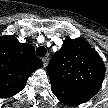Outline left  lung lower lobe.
<instances>
[{"mask_svg":"<svg viewBox=\"0 0 108 108\" xmlns=\"http://www.w3.org/2000/svg\"><path fill=\"white\" fill-rule=\"evenodd\" d=\"M52 92L62 103L79 105L93 97L97 93V90L55 83L52 84Z\"/></svg>","mask_w":108,"mask_h":108,"instance_id":"obj_1","label":"left lung lower lobe"}]
</instances>
